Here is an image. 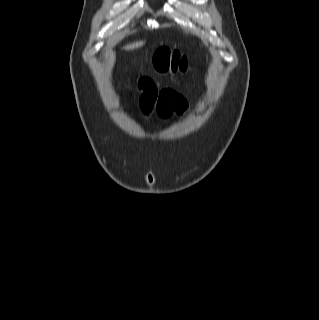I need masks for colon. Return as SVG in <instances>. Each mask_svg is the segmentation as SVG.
Wrapping results in <instances>:
<instances>
[{"label": "colon", "mask_w": 319, "mask_h": 320, "mask_svg": "<svg viewBox=\"0 0 319 320\" xmlns=\"http://www.w3.org/2000/svg\"><path fill=\"white\" fill-rule=\"evenodd\" d=\"M151 64L158 72L177 73L187 68V59L177 50L160 48L154 53Z\"/></svg>", "instance_id": "colon-1"}]
</instances>
